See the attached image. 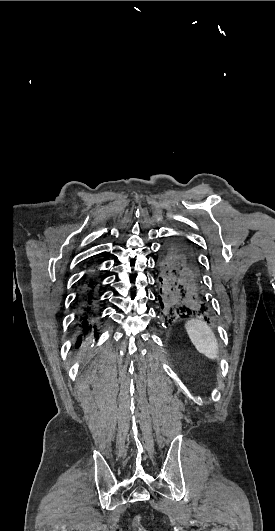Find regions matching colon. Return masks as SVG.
Returning a JSON list of instances; mask_svg holds the SVG:
<instances>
[{
  "mask_svg": "<svg viewBox=\"0 0 275 531\" xmlns=\"http://www.w3.org/2000/svg\"><path fill=\"white\" fill-rule=\"evenodd\" d=\"M143 518L141 516H136L131 524L132 531H146L142 525Z\"/></svg>",
  "mask_w": 275,
  "mask_h": 531,
  "instance_id": "colon-1",
  "label": "colon"
}]
</instances>
